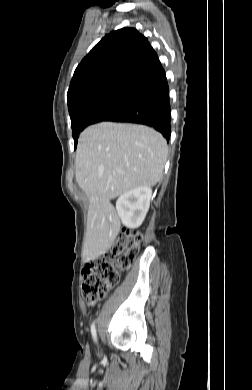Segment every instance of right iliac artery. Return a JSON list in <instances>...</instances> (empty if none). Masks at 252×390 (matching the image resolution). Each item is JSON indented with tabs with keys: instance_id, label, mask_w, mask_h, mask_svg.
I'll return each mask as SVG.
<instances>
[{
	"instance_id": "82829eb1",
	"label": "right iliac artery",
	"mask_w": 252,
	"mask_h": 390,
	"mask_svg": "<svg viewBox=\"0 0 252 390\" xmlns=\"http://www.w3.org/2000/svg\"><path fill=\"white\" fill-rule=\"evenodd\" d=\"M91 333H92L94 341L97 342L96 328H95L94 323H92V325H91Z\"/></svg>"
}]
</instances>
